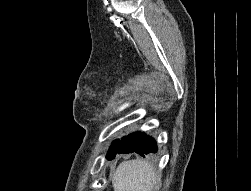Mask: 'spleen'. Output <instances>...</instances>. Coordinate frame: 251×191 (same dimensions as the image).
<instances>
[{
  "mask_svg": "<svg viewBox=\"0 0 251 191\" xmlns=\"http://www.w3.org/2000/svg\"><path fill=\"white\" fill-rule=\"evenodd\" d=\"M158 177L146 159H127L117 165L112 183L114 191H152Z\"/></svg>",
  "mask_w": 251,
  "mask_h": 191,
  "instance_id": "3e777b00",
  "label": "spleen"
}]
</instances>
